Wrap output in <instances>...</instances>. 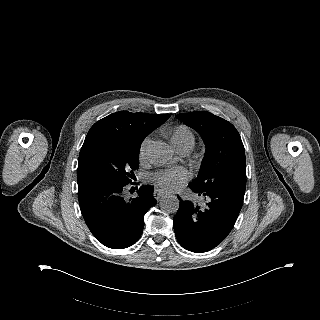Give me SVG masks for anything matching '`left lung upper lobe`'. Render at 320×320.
Returning <instances> with one entry per match:
<instances>
[{"instance_id":"1","label":"left lung upper lobe","mask_w":320,"mask_h":320,"mask_svg":"<svg viewBox=\"0 0 320 320\" xmlns=\"http://www.w3.org/2000/svg\"><path fill=\"white\" fill-rule=\"evenodd\" d=\"M176 117L196 130L206 144L198 176L189 186L201 191L225 184L246 187L245 150L235 127L206 111L179 114Z\"/></svg>"}]
</instances>
